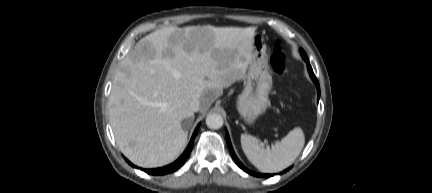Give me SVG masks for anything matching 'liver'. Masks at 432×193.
<instances>
[{
  "mask_svg": "<svg viewBox=\"0 0 432 193\" xmlns=\"http://www.w3.org/2000/svg\"><path fill=\"white\" fill-rule=\"evenodd\" d=\"M255 27H165L139 40L121 61L109 96L117 145L134 164L156 168L185 148L182 121L193 98L206 112L246 76Z\"/></svg>",
  "mask_w": 432,
  "mask_h": 193,
  "instance_id": "obj_1",
  "label": "liver"
}]
</instances>
